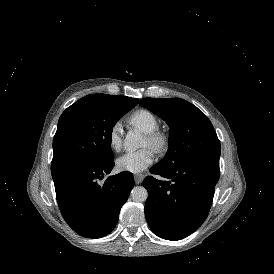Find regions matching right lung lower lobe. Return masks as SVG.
Returning a JSON list of instances; mask_svg holds the SVG:
<instances>
[{
    "label": "right lung lower lobe",
    "instance_id": "1",
    "mask_svg": "<svg viewBox=\"0 0 274 274\" xmlns=\"http://www.w3.org/2000/svg\"><path fill=\"white\" fill-rule=\"evenodd\" d=\"M114 160L103 165L78 163L52 170L56 198L69 226L81 236L100 238L117 224L119 212L134 186L133 174L109 176Z\"/></svg>",
    "mask_w": 274,
    "mask_h": 274
}]
</instances>
